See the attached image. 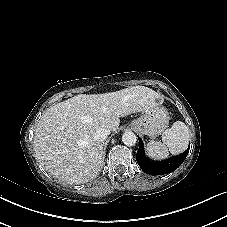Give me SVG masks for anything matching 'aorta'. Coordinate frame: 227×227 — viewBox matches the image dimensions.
Returning a JSON list of instances; mask_svg holds the SVG:
<instances>
[{
    "label": "aorta",
    "instance_id": "762f6f07",
    "mask_svg": "<svg viewBox=\"0 0 227 227\" xmlns=\"http://www.w3.org/2000/svg\"><path fill=\"white\" fill-rule=\"evenodd\" d=\"M122 141L126 146H133L136 144L137 137L133 132H125L122 135Z\"/></svg>",
    "mask_w": 227,
    "mask_h": 227
}]
</instances>
